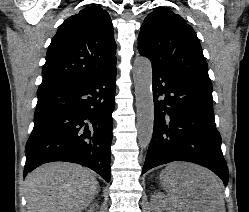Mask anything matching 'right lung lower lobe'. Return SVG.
<instances>
[{"label": "right lung lower lobe", "mask_w": 249, "mask_h": 212, "mask_svg": "<svg viewBox=\"0 0 249 212\" xmlns=\"http://www.w3.org/2000/svg\"><path fill=\"white\" fill-rule=\"evenodd\" d=\"M116 64L99 75L38 93L24 176L54 161L86 166L110 182Z\"/></svg>", "instance_id": "obj_1"}]
</instances>
